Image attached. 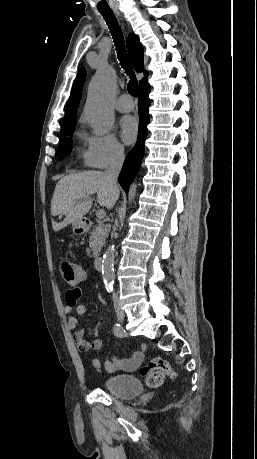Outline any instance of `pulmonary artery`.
<instances>
[{"instance_id": "obj_1", "label": "pulmonary artery", "mask_w": 257, "mask_h": 459, "mask_svg": "<svg viewBox=\"0 0 257 459\" xmlns=\"http://www.w3.org/2000/svg\"><path fill=\"white\" fill-rule=\"evenodd\" d=\"M115 107L120 112H130L134 108V103L128 94H123L117 99Z\"/></svg>"}]
</instances>
